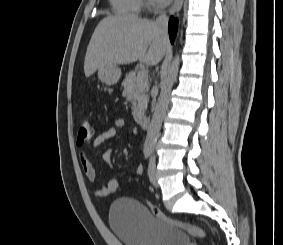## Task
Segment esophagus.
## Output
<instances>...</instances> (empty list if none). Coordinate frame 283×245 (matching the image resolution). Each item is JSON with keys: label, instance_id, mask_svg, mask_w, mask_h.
I'll return each instance as SVG.
<instances>
[{"label": "esophagus", "instance_id": "obj_1", "mask_svg": "<svg viewBox=\"0 0 283 245\" xmlns=\"http://www.w3.org/2000/svg\"><path fill=\"white\" fill-rule=\"evenodd\" d=\"M183 5V0H174L171 8H170V15H176L179 13Z\"/></svg>", "mask_w": 283, "mask_h": 245}]
</instances>
